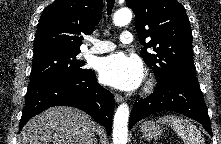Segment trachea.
<instances>
[{
	"label": "trachea",
	"mask_w": 221,
	"mask_h": 144,
	"mask_svg": "<svg viewBox=\"0 0 221 144\" xmlns=\"http://www.w3.org/2000/svg\"><path fill=\"white\" fill-rule=\"evenodd\" d=\"M115 0H107V12L108 15L112 13V9L114 7Z\"/></svg>",
	"instance_id": "1"
}]
</instances>
